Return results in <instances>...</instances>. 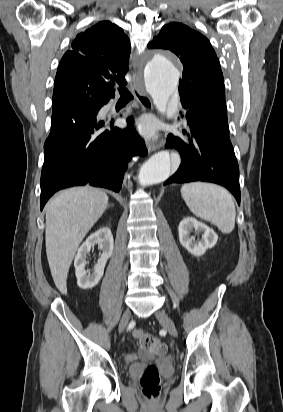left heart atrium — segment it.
<instances>
[{"mask_svg": "<svg viewBox=\"0 0 283 412\" xmlns=\"http://www.w3.org/2000/svg\"><path fill=\"white\" fill-rule=\"evenodd\" d=\"M136 132L146 139H151L155 136V122L149 117H143L136 123Z\"/></svg>", "mask_w": 283, "mask_h": 412, "instance_id": "obj_1", "label": "left heart atrium"}]
</instances>
